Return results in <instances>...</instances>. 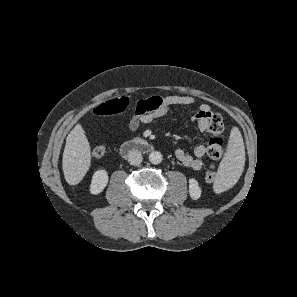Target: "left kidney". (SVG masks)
<instances>
[{
	"label": "left kidney",
	"instance_id": "5707ae66",
	"mask_svg": "<svg viewBox=\"0 0 297 297\" xmlns=\"http://www.w3.org/2000/svg\"><path fill=\"white\" fill-rule=\"evenodd\" d=\"M202 189L198 181L194 178L189 179V194L190 197L194 200L198 199L201 196Z\"/></svg>",
	"mask_w": 297,
	"mask_h": 297
}]
</instances>
